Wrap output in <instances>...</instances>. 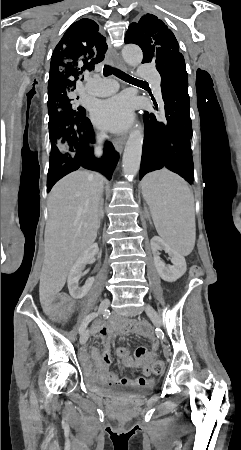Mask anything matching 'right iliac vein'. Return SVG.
I'll return each instance as SVG.
<instances>
[{
    "mask_svg": "<svg viewBox=\"0 0 241 450\" xmlns=\"http://www.w3.org/2000/svg\"><path fill=\"white\" fill-rule=\"evenodd\" d=\"M109 305H110V300H109V299H104V300H102V302H101V304H100V306H99L98 312H99V313H103L105 310H107V308L109 307ZM88 335H89V330H88V329L85 330V331L81 334V336H80V343H81V344H85V343H86V341H87V339H88Z\"/></svg>",
    "mask_w": 241,
    "mask_h": 450,
    "instance_id": "right-iliac-vein-1",
    "label": "right iliac vein"
}]
</instances>
